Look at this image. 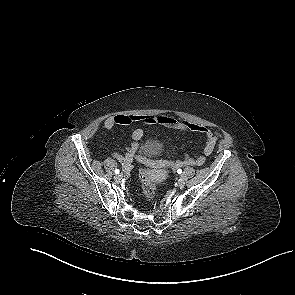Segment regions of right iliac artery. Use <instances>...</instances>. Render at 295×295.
I'll use <instances>...</instances> for the list:
<instances>
[{
  "instance_id": "right-iliac-artery-1",
  "label": "right iliac artery",
  "mask_w": 295,
  "mask_h": 295,
  "mask_svg": "<svg viewBox=\"0 0 295 295\" xmlns=\"http://www.w3.org/2000/svg\"><path fill=\"white\" fill-rule=\"evenodd\" d=\"M119 172H120L119 169H115L116 174H119Z\"/></svg>"
}]
</instances>
